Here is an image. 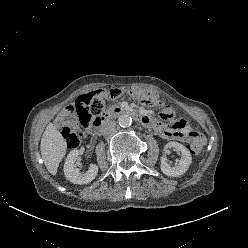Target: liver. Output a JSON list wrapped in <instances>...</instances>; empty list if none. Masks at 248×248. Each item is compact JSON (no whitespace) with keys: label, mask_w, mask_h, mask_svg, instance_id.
<instances>
[{"label":"liver","mask_w":248,"mask_h":248,"mask_svg":"<svg viewBox=\"0 0 248 248\" xmlns=\"http://www.w3.org/2000/svg\"><path fill=\"white\" fill-rule=\"evenodd\" d=\"M67 150V143L57 127L49 123L43 133L40 151L46 168L52 175H56L59 163Z\"/></svg>","instance_id":"liver-1"}]
</instances>
